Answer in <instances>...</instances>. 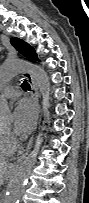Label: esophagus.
Segmentation results:
<instances>
[{
    "label": "esophagus",
    "mask_w": 89,
    "mask_h": 203,
    "mask_svg": "<svg viewBox=\"0 0 89 203\" xmlns=\"http://www.w3.org/2000/svg\"><path fill=\"white\" fill-rule=\"evenodd\" d=\"M24 77L28 80V82L31 85L32 88V99L35 105V122H34V130H36L37 128V122H38V118H39V93H38V87L37 84L33 78V76L30 73H24ZM32 141H33V135L30 138L27 148H26V152L21 155L17 161L13 164L14 168H18V166L22 163L23 159L26 157L27 153L29 152L31 145H32Z\"/></svg>",
    "instance_id": "34e87169"
}]
</instances>
